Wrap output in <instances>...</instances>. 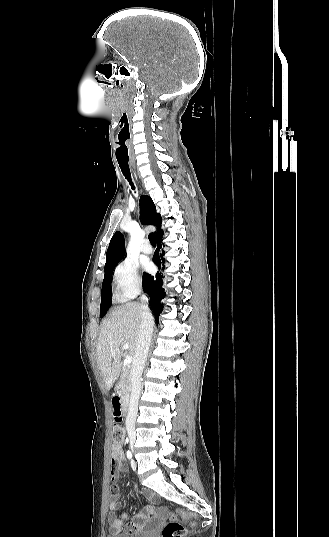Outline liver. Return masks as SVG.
I'll return each instance as SVG.
<instances>
[{
	"instance_id": "obj_1",
	"label": "liver",
	"mask_w": 329,
	"mask_h": 537,
	"mask_svg": "<svg viewBox=\"0 0 329 537\" xmlns=\"http://www.w3.org/2000/svg\"><path fill=\"white\" fill-rule=\"evenodd\" d=\"M140 322L141 306L137 303H126L112 311L102 323L97 344V360L107 390H110L119 377L124 343L129 345V357H134ZM113 351L115 356L111 354Z\"/></svg>"
}]
</instances>
